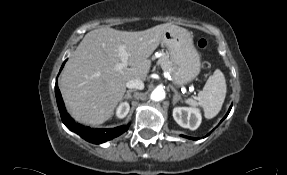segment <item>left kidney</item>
<instances>
[{"mask_svg":"<svg viewBox=\"0 0 287 175\" xmlns=\"http://www.w3.org/2000/svg\"><path fill=\"white\" fill-rule=\"evenodd\" d=\"M173 118L181 127L190 130H196L202 119L200 110L194 107H175Z\"/></svg>","mask_w":287,"mask_h":175,"instance_id":"obj_1","label":"left kidney"}]
</instances>
